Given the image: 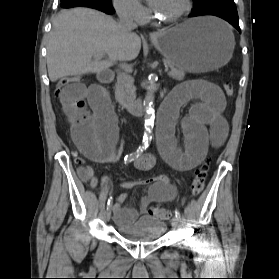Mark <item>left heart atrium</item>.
Wrapping results in <instances>:
<instances>
[{"label": "left heart atrium", "instance_id": "obj_1", "mask_svg": "<svg viewBox=\"0 0 279 279\" xmlns=\"http://www.w3.org/2000/svg\"><path fill=\"white\" fill-rule=\"evenodd\" d=\"M158 1L159 0H148L149 4L151 5V7L155 10L157 5H158Z\"/></svg>", "mask_w": 279, "mask_h": 279}]
</instances>
